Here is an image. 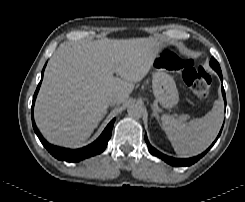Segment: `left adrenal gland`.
I'll return each instance as SVG.
<instances>
[{"label":"left adrenal gland","mask_w":245,"mask_h":202,"mask_svg":"<svg viewBox=\"0 0 245 202\" xmlns=\"http://www.w3.org/2000/svg\"><path fill=\"white\" fill-rule=\"evenodd\" d=\"M152 110H153L152 116H153V117H156L157 121H159V115H158V113H157L156 108L152 106Z\"/></svg>","instance_id":"left-adrenal-gland-1"}]
</instances>
